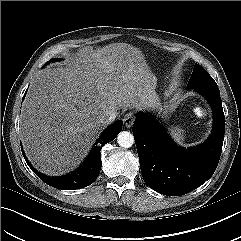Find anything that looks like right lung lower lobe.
I'll use <instances>...</instances> for the list:
<instances>
[{"label": "right lung lower lobe", "mask_w": 241, "mask_h": 241, "mask_svg": "<svg viewBox=\"0 0 241 241\" xmlns=\"http://www.w3.org/2000/svg\"><path fill=\"white\" fill-rule=\"evenodd\" d=\"M122 130V121L118 120L109 126L96 141L92 151L85 160V162L80 166L75 172L65 175L62 177H49L39 173L30 164L26 158L23 150L22 154L25 158L26 163L31 168V170L46 184L57 188V189H79L92 184L96 178L99 176L101 170V149L102 147L115 139V137ZM22 148V147H21Z\"/></svg>", "instance_id": "1"}]
</instances>
